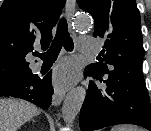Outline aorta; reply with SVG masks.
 <instances>
[{
  "label": "aorta",
  "mask_w": 151,
  "mask_h": 131,
  "mask_svg": "<svg viewBox=\"0 0 151 131\" xmlns=\"http://www.w3.org/2000/svg\"><path fill=\"white\" fill-rule=\"evenodd\" d=\"M74 27L78 31H87L91 27L90 18L85 14H80L74 21ZM86 96L84 87H76L71 90L64 99L62 115L66 124L70 125L79 113Z\"/></svg>",
  "instance_id": "aorta-1"
}]
</instances>
